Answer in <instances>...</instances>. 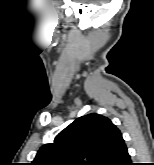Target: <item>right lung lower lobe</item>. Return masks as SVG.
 Instances as JSON below:
<instances>
[{
  "instance_id": "1",
  "label": "right lung lower lobe",
  "mask_w": 154,
  "mask_h": 165,
  "mask_svg": "<svg viewBox=\"0 0 154 165\" xmlns=\"http://www.w3.org/2000/svg\"><path fill=\"white\" fill-rule=\"evenodd\" d=\"M101 165H132L122 135L114 141L110 147V153Z\"/></svg>"
}]
</instances>
